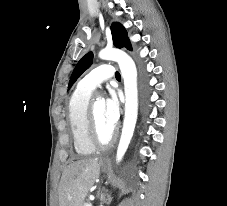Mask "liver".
<instances>
[{
	"instance_id": "1",
	"label": "liver",
	"mask_w": 227,
	"mask_h": 206,
	"mask_svg": "<svg viewBox=\"0 0 227 206\" xmlns=\"http://www.w3.org/2000/svg\"><path fill=\"white\" fill-rule=\"evenodd\" d=\"M99 158H84L70 163L63 171L58 188L59 206H82L100 173Z\"/></svg>"
}]
</instances>
